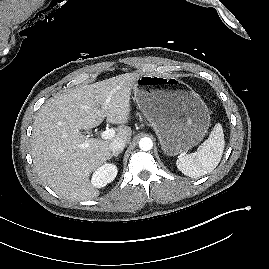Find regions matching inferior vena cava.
Masks as SVG:
<instances>
[{
  "instance_id": "602c4592",
  "label": "inferior vena cava",
  "mask_w": 269,
  "mask_h": 269,
  "mask_svg": "<svg viewBox=\"0 0 269 269\" xmlns=\"http://www.w3.org/2000/svg\"><path fill=\"white\" fill-rule=\"evenodd\" d=\"M126 145V141L123 139H115L114 141H112L109 145L110 150L113 153L122 151L124 149Z\"/></svg>"
}]
</instances>
